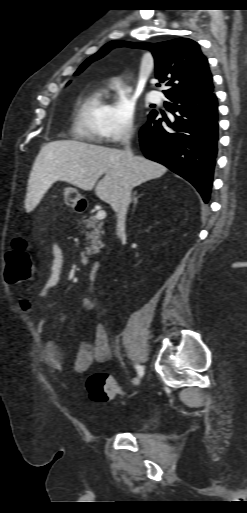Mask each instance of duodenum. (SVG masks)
<instances>
[{
    "mask_svg": "<svg viewBox=\"0 0 247 513\" xmlns=\"http://www.w3.org/2000/svg\"><path fill=\"white\" fill-rule=\"evenodd\" d=\"M99 268H100V262H98V261L94 262L91 267V273L94 274V276H96Z\"/></svg>",
    "mask_w": 247,
    "mask_h": 513,
    "instance_id": "obj_1",
    "label": "duodenum"
}]
</instances>
